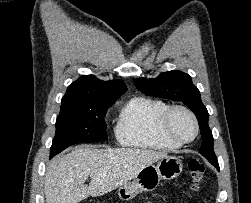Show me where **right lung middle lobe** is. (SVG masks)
I'll return each mask as SVG.
<instances>
[{"mask_svg":"<svg viewBox=\"0 0 251 203\" xmlns=\"http://www.w3.org/2000/svg\"><path fill=\"white\" fill-rule=\"evenodd\" d=\"M114 102H85L61 105L50 158L67 147L95 140H107L104 117Z\"/></svg>","mask_w":251,"mask_h":203,"instance_id":"obj_1","label":"right lung middle lobe"}]
</instances>
